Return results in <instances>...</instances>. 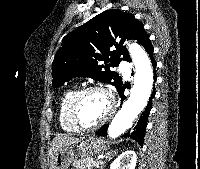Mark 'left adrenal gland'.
I'll return each mask as SVG.
<instances>
[{
	"mask_svg": "<svg viewBox=\"0 0 200 169\" xmlns=\"http://www.w3.org/2000/svg\"><path fill=\"white\" fill-rule=\"evenodd\" d=\"M117 155V150H112V151H108L106 153V156H105V160L103 163H101V168L100 169H103V167L105 166V163L109 160L112 159L113 156Z\"/></svg>",
	"mask_w": 200,
	"mask_h": 169,
	"instance_id": "a2214340",
	"label": "left adrenal gland"
}]
</instances>
